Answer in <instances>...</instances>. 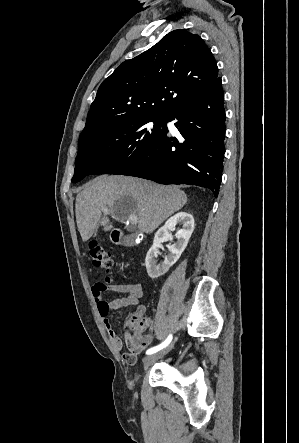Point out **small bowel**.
<instances>
[{
  "label": "small bowel",
  "instance_id": "obj_1",
  "mask_svg": "<svg viewBox=\"0 0 299 443\" xmlns=\"http://www.w3.org/2000/svg\"><path fill=\"white\" fill-rule=\"evenodd\" d=\"M106 292H114L122 294V296L107 301L104 298ZM144 289L140 283H112L105 284L97 282L92 286V295L97 305L99 315L102 317L104 328L112 342L115 350L121 351L123 348V341L115 332L108 316L110 312L127 307L137 306V311L145 312V307L140 305V300L143 297ZM125 344L128 352L124 354L126 363L135 364L137 357L142 353L153 341V334L137 335L135 337L125 333Z\"/></svg>",
  "mask_w": 299,
  "mask_h": 443
}]
</instances>
